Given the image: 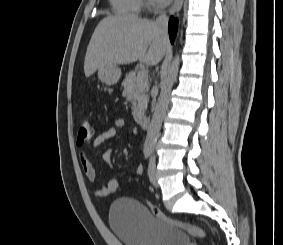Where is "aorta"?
I'll use <instances>...</instances> for the list:
<instances>
[{
  "label": "aorta",
  "instance_id": "obj_1",
  "mask_svg": "<svg viewBox=\"0 0 283 245\" xmlns=\"http://www.w3.org/2000/svg\"><path fill=\"white\" fill-rule=\"evenodd\" d=\"M179 64L180 59L177 55L173 59L166 77L162 81L160 95L158 97L153 117L148 126L147 135L144 143V149L147 151H153L157 143L162 122L168 108L170 93L179 70Z\"/></svg>",
  "mask_w": 283,
  "mask_h": 245
}]
</instances>
